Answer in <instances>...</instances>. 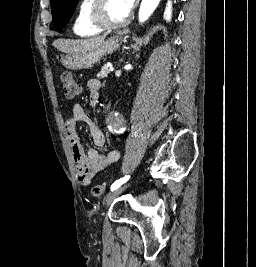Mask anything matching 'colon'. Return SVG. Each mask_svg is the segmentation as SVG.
<instances>
[{"mask_svg": "<svg viewBox=\"0 0 256 267\" xmlns=\"http://www.w3.org/2000/svg\"><path fill=\"white\" fill-rule=\"evenodd\" d=\"M61 84L63 92L66 96L74 97L79 92V86L76 79L68 72L61 75ZM109 189L108 184H98L91 188V194L95 197L104 195Z\"/></svg>", "mask_w": 256, "mask_h": 267, "instance_id": "obj_1", "label": "colon"}]
</instances>
